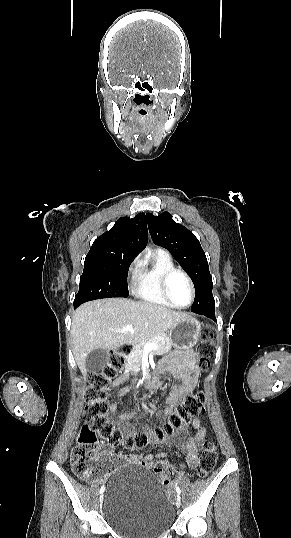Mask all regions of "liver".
Returning a JSON list of instances; mask_svg holds the SVG:
<instances>
[{
	"label": "liver",
	"instance_id": "1",
	"mask_svg": "<svg viewBox=\"0 0 291 538\" xmlns=\"http://www.w3.org/2000/svg\"><path fill=\"white\" fill-rule=\"evenodd\" d=\"M188 316L165 306L126 298L87 302L79 306L72 316L75 361L86 377L85 360L91 351H113L124 344H137L162 335ZM125 325L132 326L133 330L118 332Z\"/></svg>",
	"mask_w": 291,
	"mask_h": 538
}]
</instances>
